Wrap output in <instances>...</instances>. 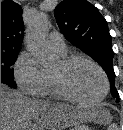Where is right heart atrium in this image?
<instances>
[{
	"label": "right heart atrium",
	"mask_w": 123,
	"mask_h": 130,
	"mask_svg": "<svg viewBox=\"0 0 123 130\" xmlns=\"http://www.w3.org/2000/svg\"><path fill=\"white\" fill-rule=\"evenodd\" d=\"M14 77L21 91L30 96H44L46 91L45 70L29 51L18 56Z\"/></svg>",
	"instance_id": "d8ad5b80"
}]
</instances>
